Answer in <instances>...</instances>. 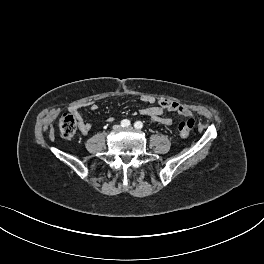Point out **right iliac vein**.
I'll list each match as a JSON object with an SVG mask.
<instances>
[{
    "instance_id": "obj_1",
    "label": "right iliac vein",
    "mask_w": 264,
    "mask_h": 264,
    "mask_svg": "<svg viewBox=\"0 0 264 264\" xmlns=\"http://www.w3.org/2000/svg\"><path fill=\"white\" fill-rule=\"evenodd\" d=\"M113 129H114V130H119V129H121V126L118 125V124H116V125L113 126Z\"/></svg>"
}]
</instances>
